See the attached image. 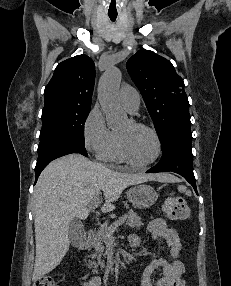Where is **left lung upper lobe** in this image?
Masks as SVG:
<instances>
[{
	"instance_id": "obj_1",
	"label": "left lung upper lobe",
	"mask_w": 231,
	"mask_h": 286,
	"mask_svg": "<svg viewBox=\"0 0 231 286\" xmlns=\"http://www.w3.org/2000/svg\"><path fill=\"white\" fill-rule=\"evenodd\" d=\"M126 66L143 96L159 139L172 129L190 128L184 82L170 61L141 49L128 60Z\"/></svg>"
}]
</instances>
